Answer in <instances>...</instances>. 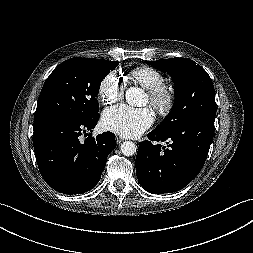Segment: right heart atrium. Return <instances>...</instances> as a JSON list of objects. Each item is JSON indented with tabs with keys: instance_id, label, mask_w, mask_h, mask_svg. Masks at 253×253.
<instances>
[{
	"instance_id": "right-heart-atrium-1",
	"label": "right heart atrium",
	"mask_w": 253,
	"mask_h": 253,
	"mask_svg": "<svg viewBox=\"0 0 253 253\" xmlns=\"http://www.w3.org/2000/svg\"><path fill=\"white\" fill-rule=\"evenodd\" d=\"M124 90V79L118 73L110 72L100 82L98 96L103 104L111 105L122 99Z\"/></svg>"
}]
</instances>
